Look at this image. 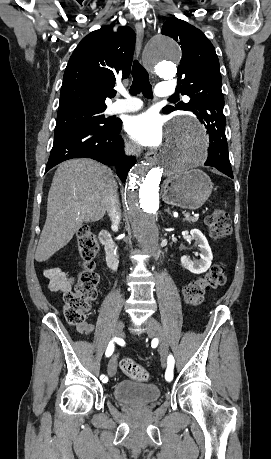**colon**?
Returning a JSON list of instances; mask_svg holds the SVG:
<instances>
[{"mask_svg":"<svg viewBox=\"0 0 271 459\" xmlns=\"http://www.w3.org/2000/svg\"><path fill=\"white\" fill-rule=\"evenodd\" d=\"M211 237L220 241L231 233V221L227 212L222 209L214 210L206 218ZM77 248L82 259V269L77 275L73 288L64 294V314L68 323L79 325L84 322L90 310L91 302L97 295L99 275L94 270V258L99 246L94 233L86 225L77 231ZM226 265L223 262L214 264L205 275L185 286L183 294L185 301L192 306L200 305L209 289L217 288L226 282ZM121 370L131 379L145 382L149 379L147 370L130 358L120 362Z\"/></svg>","mask_w":271,"mask_h":459,"instance_id":"colon-1","label":"colon"}]
</instances>
